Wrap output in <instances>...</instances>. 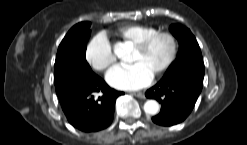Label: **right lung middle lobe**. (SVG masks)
I'll return each mask as SVG.
<instances>
[{"label":"right lung middle lobe","mask_w":247,"mask_h":145,"mask_svg":"<svg viewBox=\"0 0 247 145\" xmlns=\"http://www.w3.org/2000/svg\"><path fill=\"white\" fill-rule=\"evenodd\" d=\"M90 25L89 22L76 24L60 43L54 66L55 80L76 71L92 72L85 58Z\"/></svg>","instance_id":"right-lung-middle-lobe-1"}]
</instances>
